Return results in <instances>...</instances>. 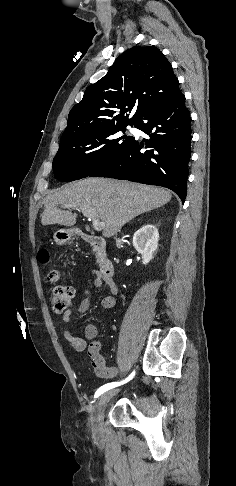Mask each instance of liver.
<instances>
[{"label": "liver", "mask_w": 236, "mask_h": 486, "mask_svg": "<svg viewBox=\"0 0 236 486\" xmlns=\"http://www.w3.org/2000/svg\"><path fill=\"white\" fill-rule=\"evenodd\" d=\"M171 200L163 188L104 178H86L47 195L41 217L43 226H73L77 215L58 208L94 209L105 223L102 235L110 238L134 217L161 207ZM69 208V209H70Z\"/></svg>", "instance_id": "obj_1"}]
</instances>
